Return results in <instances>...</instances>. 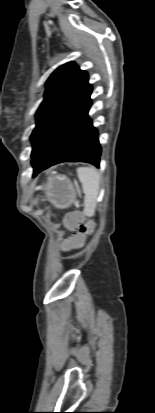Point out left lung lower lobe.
Segmentation results:
<instances>
[{"mask_svg":"<svg viewBox=\"0 0 155 413\" xmlns=\"http://www.w3.org/2000/svg\"><path fill=\"white\" fill-rule=\"evenodd\" d=\"M89 103L77 124L59 137V150L46 162L34 168L33 177L42 170L62 162H87L99 167L101 147L98 141V132L92 125L88 112Z\"/></svg>","mask_w":155,"mask_h":413,"instance_id":"1","label":"left lung lower lobe"}]
</instances>
